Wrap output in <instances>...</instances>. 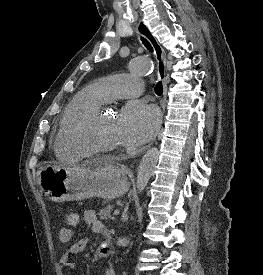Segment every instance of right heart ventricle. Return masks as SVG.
Listing matches in <instances>:
<instances>
[{
  "instance_id": "obj_1",
  "label": "right heart ventricle",
  "mask_w": 263,
  "mask_h": 275,
  "mask_svg": "<svg viewBox=\"0 0 263 275\" xmlns=\"http://www.w3.org/2000/svg\"><path fill=\"white\" fill-rule=\"evenodd\" d=\"M105 102L106 99L98 83L86 86L70 101L64 111L56 139V149L61 156L80 159L86 155L72 143L68 133L85 114Z\"/></svg>"
}]
</instances>
